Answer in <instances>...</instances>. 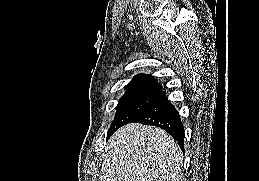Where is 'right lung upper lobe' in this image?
<instances>
[{
  "mask_svg": "<svg viewBox=\"0 0 259 181\" xmlns=\"http://www.w3.org/2000/svg\"><path fill=\"white\" fill-rule=\"evenodd\" d=\"M160 85L152 75L138 74L125 86Z\"/></svg>",
  "mask_w": 259,
  "mask_h": 181,
  "instance_id": "obj_1",
  "label": "right lung upper lobe"
}]
</instances>
